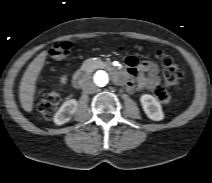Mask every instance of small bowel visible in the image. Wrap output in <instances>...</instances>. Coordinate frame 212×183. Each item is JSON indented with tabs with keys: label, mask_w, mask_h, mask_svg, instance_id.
<instances>
[{
	"label": "small bowel",
	"mask_w": 212,
	"mask_h": 183,
	"mask_svg": "<svg viewBox=\"0 0 212 183\" xmlns=\"http://www.w3.org/2000/svg\"><path fill=\"white\" fill-rule=\"evenodd\" d=\"M159 67L152 61L130 56L126 59L123 69L119 72L117 80L124 85L127 91L133 92L135 89L155 91L161 82ZM61 85H66L67 78L62 76Z\"/></svg>",
	"instance_id": "small-bowel-1"
}]
</instances>
